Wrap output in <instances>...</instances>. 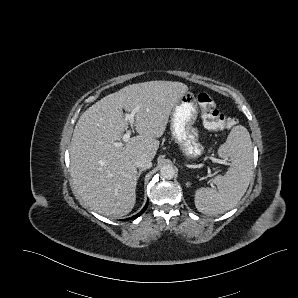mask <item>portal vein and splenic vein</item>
I'll use <instances>...</instances> for the list:
<instances>
[{
    "instance_id": "1",
    "label": "portal vein and splenic vein",
    "mask_w": 298,
    "mask_h": 298,
    "mask_svg": "<svg viewBox=\"0 0 298 298\" xmlns=\"http://www.w3.org/2000/svg\"><path fill=\"white\" fill-rule=\"evenodd\" d=\"M139 111V107H135L132 111L131 114H126V117L129 119V121L132 123V120L134 118V115ZM129 138H130V133H126L123 137H122V142H116L115 143V146L117 147H124V145H126L128 142H129ZM208 158L212 161V162H215V163H221V160L216 158V157H213V156H208Z\"/></svg>"
}]
</instances>
